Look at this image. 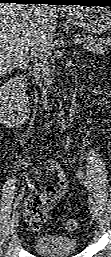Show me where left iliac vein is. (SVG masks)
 Segmentation results:
<instances>
[{
    "label": "left iliac vein",
    "instance_id": "4c4485c4",
    "mask_svg": "<svg viewBox=\"0 0 111 257\" xmlns=\"http://www.w3.org/2000/svg\"><path fill=\"white\" fill-rule=\"evenodd\" d=\"M88 207H89V211H90L92 217L95 218L97 215V211H96L95 202L93 201L92 197L88 198Z\"/></svg>",
    "mask_w": 111,
    "mask_h": 257
}]
</instances>
